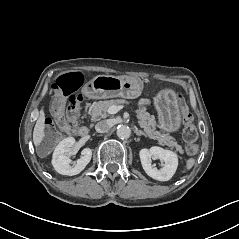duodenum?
I'll list each match as a JSON object with an SVG mask.
<instances>
[{"mask_svg": "<svg viewBox=\"0 0 239 239\" xmlns=\"http://www.w3.org/2000/svg\"><path fill=\"white\" fill-rule=\"evenodd\" d=\"M88 133H89V129L85 125H82L78 130L79 136H82V137L88 135Z\"/></svg>", "mask_w": 239, "mask_h": 239, "instance_id": "obj_1", "label": "duodenum"}]
</instances>
